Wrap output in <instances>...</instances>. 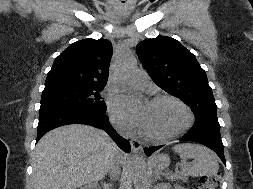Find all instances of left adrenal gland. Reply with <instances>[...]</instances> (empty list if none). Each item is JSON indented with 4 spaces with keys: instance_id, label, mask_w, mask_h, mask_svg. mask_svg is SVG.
Listing matches in <instances>:
<instances>
[{
    "instance_id": "a2214340",
    "label": "left adrenal gland",
    "mask_w": 253,
    "mask_h": 189,
    "mask_svg": "<svg viewBox=\"0 0 253 189\" xmlns=\"http://www.w3.org/2000/svg\"><path fill=\"white\" fill-rule=\"evenodd\" d=\"M157 178H160L159 173H155V180H156Z\"/></svg>"
}]
</instances>
